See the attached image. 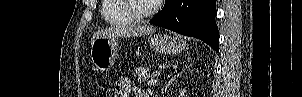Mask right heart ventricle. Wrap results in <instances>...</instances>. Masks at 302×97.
<instances>
[{
	"label": "right heart ventricle",
	"instance_id": "right-heart-ventricle-1",
	"mask_svg": "<svg viewBox=\"0 0 302 97\" xmlns=\"http://www.w3.org/2000/svg\"><path fill=\"white\" fill-rule=\"evenodd\" d=\"M101 14L108 25L125 26L134 22L121 8L120 0H103Z\"/></svg>",
	"mask_w": 302,
	"mask_h": 97
}]
</instances>
